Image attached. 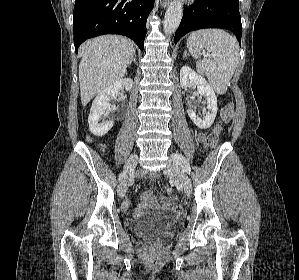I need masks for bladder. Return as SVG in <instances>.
<instances>
[{
	"instance_id": "obj_1",
	"label": "bladder",
	"mask_w": 299,
	"mask_h": 280,
	"mask_svg": "<svg viewBox=\"0 0 299 280\" xmlns=\"http://www.w3.org/2000/svg\"><path fill=\"white\" fill-rule=\"evenodd\" d=\"M176 226L177 220L163 211L143 213L131 225L133 231L139 236L153 239L169 236Z\"/></svg>"
}]
</instances>
